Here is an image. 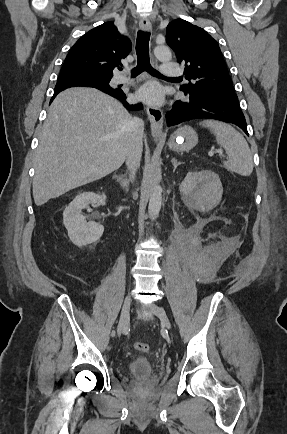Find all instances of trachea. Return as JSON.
<instances>
[{"mask_svg":"<svg viewBox=\"0 0 287 434\" xmlns=\"http://www.w3.org/2000/svg\"><path fill=\"white\" fill-rule=\"evenodd\" d=\"M149 40L150 33L146 31H139L136 40V54H137V66L132 69L131 76L136 77L143 71H147L152 76L162 77L157 70H155L150 64L149 58Z\"/></svg>","mask_w":287,"mask_h":434,"instance_id":"3493384b","label":"trachea"}]
</instances>
